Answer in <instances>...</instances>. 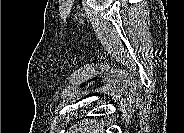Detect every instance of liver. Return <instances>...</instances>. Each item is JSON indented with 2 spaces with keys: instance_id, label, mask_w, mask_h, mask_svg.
Segmentation results:
<instances>
[{
  "instance_id": "liver-1",
  "label": "liver",
  "mask_w": 184,
  "mask_h": 133,
  "mask_svg": "<svg viewBox=\"0 0 184 133\" xmlns=\"http://www.w3.org/2000/svg\"><path fill=\"white\" fill-rule=\"evenodd\" d=\"M94 120H86L82 122V127L76 129L79 133H99L101 129L98 128L97 125L93 124Z\"/></svg>"
}]
</instances>
